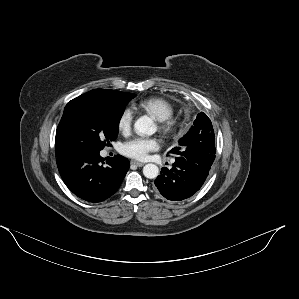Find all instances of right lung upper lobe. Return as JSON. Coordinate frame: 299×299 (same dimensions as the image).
I'll return each instance as SVG.
<instances>
[{
    "instance_id": "1",
    "label": "right lung upper lobe",
    "mask_w": 299,
    "mask_h": 299,
    "mask_svg": "<svg viewBox=\"0 0 299 299\" xmlns=\"http://www.w3.org/2000/svg\"><path fill=\"white\" fill-rule=\"evenodd\" d=\"M119 91H114V90H107V89H94V90H91L79 97H102V96H111L115 93H117ZM55 149H56V156H57V159L59 158H62V157H65L69 154L63 152L58 143L55 141Z\"/></svg>"
}]
</instances>
